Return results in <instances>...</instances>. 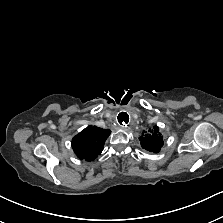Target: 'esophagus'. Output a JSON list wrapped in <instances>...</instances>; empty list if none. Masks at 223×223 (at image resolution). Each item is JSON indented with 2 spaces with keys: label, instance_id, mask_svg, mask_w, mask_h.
<instances>
[{
  "label": "esophagus",
  "instance_id": "esophagus-1",
  "mask_svg": "<svg viewBox=\"0 0 223 223\" xmlns=\"http://www.w3.org/2000/svg\"><path fill=\"white\" fill-rule=\"evenodd\" d=\"M116 122L121 127H127L132 122L130 113L126 110H121L116 115Z\"/></svg>",
  "mask_w": 223,
  "mask_h": 223
}]
</instances>
